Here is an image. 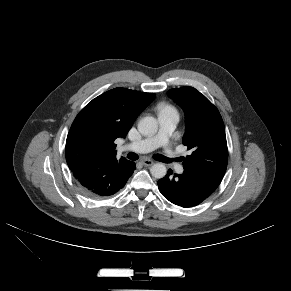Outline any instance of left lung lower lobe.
<instances>
[{"mask_svg":"<svg viewBox=\"0 0 291 291\" xmlns=\"http://www.w3.org/2000/svg\"><path fill=\"white\" fill-rule=\"evenodd\" d=\"M221 179L184 167L182 174L167 175L158 181L161 194L171 203L188 208L200 204L219 186Z\"/></svg>","mask_w":291,"mask_h":291,"instance_id":"1","label":"left lung lower lobe"}]
</instances>
